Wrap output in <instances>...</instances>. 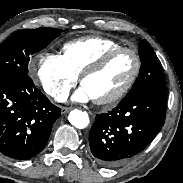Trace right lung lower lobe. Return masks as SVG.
<instances>
[{
  "instance_id": "1",
  "label": "right lung lower lobe",
  "mask_w": 183,
  "mask_h": 183,
  "mask_svg": "<svg viewBox=\"0 0 183 183\" xmlns=\"http://www.w3.org/2000/svg\"><path fill=\"white\" fill-rule=\"evenodd\" d=\"M60 111L28 74L0 77V152L18 160L37 155L44 149Z\"/></svg>"
}]
</instances>
